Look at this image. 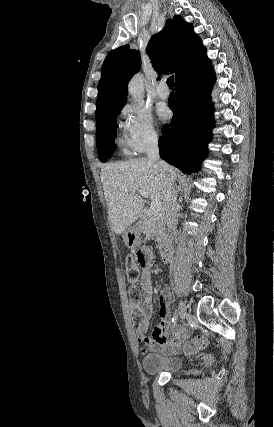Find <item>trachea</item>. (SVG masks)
<instances>
[{
    "mask_svg": "<svg viewBox=\"0 0 274 427\" xmlns=\"http://www.w3.org/2000/svg\"><path fill=\"white\" fill-rule=\"evenodd\" d=\"M167 85L169 88L174 89V77H173V75H172V77H169L167 79Z\"/></svg>",
    "mask_w": 274,
    "mask_h": 427,
    "instance_id": "obj_1",
    "label": "trachea"
}]
</instances>
